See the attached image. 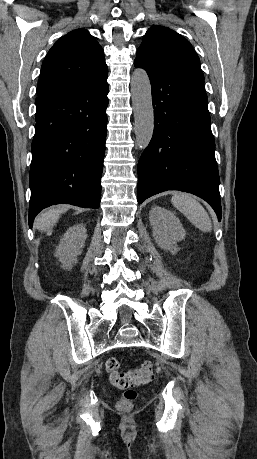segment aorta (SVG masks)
<instances>
[{
    "label": "aorta",
    "instance_id": "762f6f07",
    "mask_svg": "<svg viewBox=\"0 0 257 459\" xmlns=\"http://www.w3.org/2000/svg\"><path fill=\"white\" fill-rule=\"evenodd\" d=\"M131 95L137 145L140 149H145L151 141L154 129L151 84L145 70L138 68L133 72Z\"/></svg>",
    "mask_w": 257,
    "mask_h": 459
}]
</instances>
